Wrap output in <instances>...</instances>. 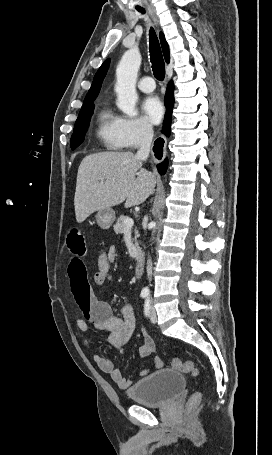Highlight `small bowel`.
<instances>
[{"instance_id":"c3829d8e","label":"small bowel","mask_w":272,"mask_h":455,"mask_svg":"<svg viewBox=\"0 0 272 455\" xmlns=\"http://www.w3.org/2000/svg\"><path fill=\"white\" fill-rule=\"evenodd\" d=\"M68 248L74 255L68 266L71 292L81 312L76 319L77 328L83 333H89V323H92L96 330L108 332V341L116 349L123 351L135 329V317L131 306H123L120 314L115 315L108 302L99 300L93 295L87 269L81 259L85 253L84 238L76 229L68 235ZM107 255L110 262H114L115 248L110 247ZM142 336L143 344L139 347L138 353L141 357H148L154 351V342L146 331H142ZM93 359L98 367L107 373L120 388L127 389L132 385V381L125 378L121 370L115 367L110 359L100 353H95ZM162 365V360L155 357L154 367L159 369ZM147 372L148 370L144 369L141 371V375Z\"/></svg>"}]
</instances>
